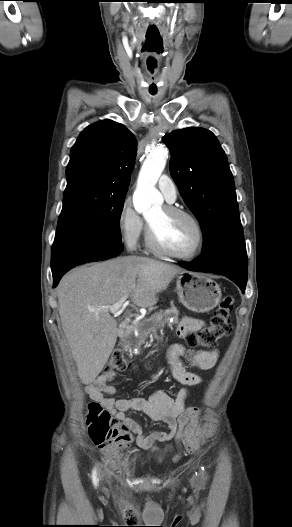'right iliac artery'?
I'll list each match as a JSON object with an SVG mask.
<instances>
[{
	"label": "right iliac artery",
	"instance_id": "obj_1",
	"mask_svg": "<svg viewBox=\"0 0 292 527\" xmlns=\"http://www.w3.org/2000/svg\"><path fill=\"white\" fill-rule=\"evenodd\" d=\"M92 478H93V483L95 485H97L98 479L96 478V471L95 470L93 471Z\"/></svg>",
	"mask_w": 292,
	"mask_h": 527
}]
</instances>
